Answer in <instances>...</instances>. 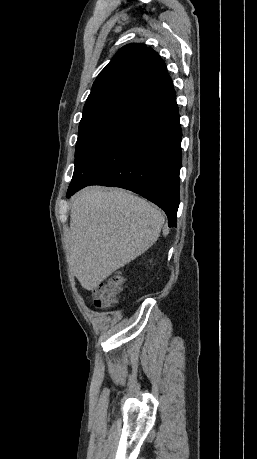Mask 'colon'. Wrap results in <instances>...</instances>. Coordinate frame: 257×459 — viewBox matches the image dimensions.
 Instances as JSON below:
<instances>
[{
  "mask_svg": "<svg viewBox=\"0 0 257 459\" xmlns=\"http://www.w3.org/2000/svg\"><path fill=\"white\" fill-rule=\"evenodd\" d=\"M123 287V277L115 273L91 291V299L96 307H111L118 301Z\"/></svg>",
  "mask_w": 257,
  "mask_h": 459,
  "instance_id": "colon-1",
  "label": "colon"
}]
</instances>
